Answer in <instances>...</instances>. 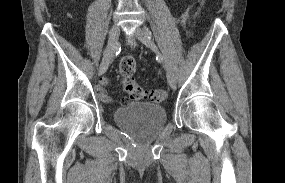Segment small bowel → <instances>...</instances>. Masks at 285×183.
Wrapping results in <instances>:
<instances>
[{
  "mask_svg": "<svg viewBox=\"0 0 285 183\" xmlns=\"http://www.w3.org/2000/svg\"><path fill=\"white\" fill-rule=\"evenodd\" d=\"M110 85V80L108 78H103L101 80V86L97 87L96 92L98 96L104 101H110L111 97L106 91V87Z\"/></svg>",
  "mask_w": 285,
  "mask_h": 183,
  "instance_id": "1",
  "label": "small bowel"
}]
</instances>
